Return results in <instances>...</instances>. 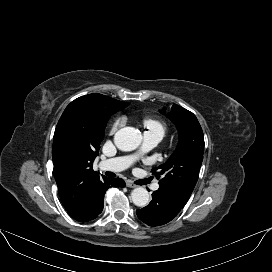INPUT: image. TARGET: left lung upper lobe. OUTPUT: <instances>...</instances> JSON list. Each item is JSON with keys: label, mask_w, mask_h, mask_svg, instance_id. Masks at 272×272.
<instances>
[{"label": "left lung upper lobe", "mask_w": 272, "mask_h": 272, "mask_svg": "<svg viewBox=\"0 0 272 272\" xmlns=\"http://www.w3.org/2000/svg\"><path fill=\"white\" fill-rule=\"evenodd\" d=\"M165 108L162 109L164 114ZM167 117L179 132V142L169 160L153 168V173L162 176L160 189L187 203L198 180L203 160L204 135L196 116L174 104Z\"/></svg>", "instance_id": "obj_1"}]
</instances>
